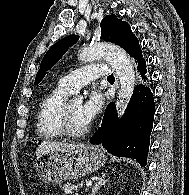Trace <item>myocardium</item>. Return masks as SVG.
Here are the masks:
<instances>
[{
  "mask_svg": "<svg viewBox=\"0 0 189 195\" xmlns=\"http://www.w3.org/2000/svg\"><path fill=\"white\" fill-rule=\"evenodd\" d=\"M60 125L62 128L63 134L72 137L79 138L85 136L89 132V127L87 126L85 129L76 130L72 127L70 122V114L68 104H64L60 114Z\"/></svg>",
  "mask_w": 189,
  "mask_h": 195,
  "instance_id": "obj_1",
  "label": "myocardium"
}]
</instances>
